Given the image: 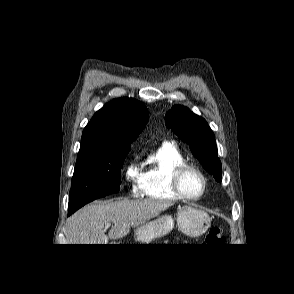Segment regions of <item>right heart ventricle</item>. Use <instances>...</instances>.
Segmentation results:
<instances>
[{
	"instance_id": "e07e8e85",
	"label": "right heart ventricle",
	"mask_w": 294,
	"mask_h": 294,
	"mask_svg": "<svg viewBox=\"0 0 294 294\" xmlns=\"http://www.w3.org/2000/svg\"><path fill=\"white\" fill-rule=\"evenodd\" d=\"M183 162V155L174 145H160L142 164L141 195L152 200H178L179 197L171 188V172Z\"/></svg>"
}]
</instances>
